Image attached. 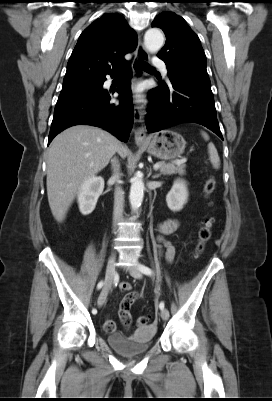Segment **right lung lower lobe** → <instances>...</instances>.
Here are the masks:
<instances>
[{
  "label": "right lung lower lobe",
  "instance_id": "obj_1",
  "mask_svg": "<svg viewBox=\"0 0 272 401\" xmlns=\"http://www.w3.org/2000/svg\"><path fill=\"white\" fill-rule=\"evenodd\" d=\"M118 70L110 75L115 76ZM130 76L131 70L128 69L126 78L116 89L120 94L118 103H110V92L103 89L106 78L100 80L98 87H85L59 96L48 144L64 129L81 124L103 128L127 142L134 120Z\"/></svg>",
  "mask_w": 272,
  "mask_h": 401
}]
</instances>
